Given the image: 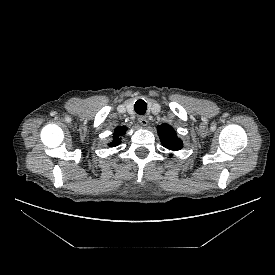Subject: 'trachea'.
<instances>
[{"label":"trachea","instance_id":"obj_1","mask_svg":"<svg viewBox=\"0 0 275 275\" xmlns=\"http://www.w3.org/2000/svg\"><path fill=\"white\" fill-rule=\"evenodd\" d=\"M146 109H147V103L144 100L139 99L135 102L134 110L137 114L139 115L145 114Z\"/></svg>","mask_w":275,"mask_h":275}]
</instances>
